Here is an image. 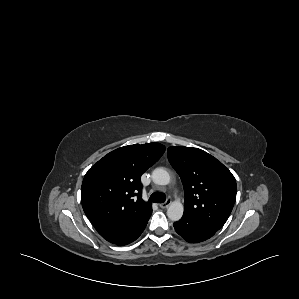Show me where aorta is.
Instances as JSON below:
<instances>
[{
    "label": "aorta",
    "mask_w": 299,
    "mask_h": 299,
    "mask_svg": "<svg viewBox=\"0 0 299 299\" xmlns=\"http://www.w3.org/2000/svg\"><path fill=\"white\" fill-rule=\"evenodd\" d=\"M152 180L157 185H168L170 175L164 168H156L152 172ZM183 212V204L180 201H173L167 209V216L172 221H178L181 219Z\"/></svg>",
    "instance_id": "obj_1"
}]
</instances>
